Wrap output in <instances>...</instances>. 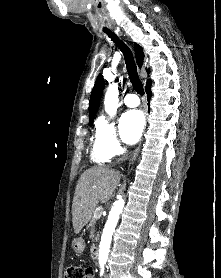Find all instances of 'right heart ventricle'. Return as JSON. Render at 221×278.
Returning a JSON list of instances; mask_svg holds the SVG:
<instances>
[{"instance_id": "e07e8e85", "label": "right heart ventricle", "mask_w": 221, "mask_h": 278, "mask_svg": "<svg viewBox=\"0 0 221 278\" xmlns=\"http://www.w3.org/2000/svg\"><path fill=\"white\" fill-rule=\"evenodd\" d=\"M91 158L97 164H105L110 160L109 154L101 147L97 138L94 141Z\"/></svg>"}]
</instances>
